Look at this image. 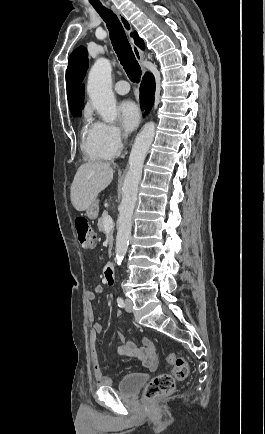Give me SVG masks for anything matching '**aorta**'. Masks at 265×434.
<instances>
[{
    "mask_svg": "<svg viewBox=\"0 0 265 434\" xmlns=\"http://www.w3.org/2000/svg\"><path fill=\"white\" fill-rule=\"evenodd\" d=\"M112 66L106 58H98L92 66L87 82V94L98 114L104 122L114 124L118 114L116 100L112 92ZM154 122L143 126L136 136L129 156V170L122 188V202L118 208L117 236L115 254L120 266L127 250L131 236L132 216L137 200L138 186L142 176V168L147 152L154 140Z\"/></svg>",
    "mask_w": 265,
    "mask_h": 434,
    "instance_id": "aorta-1",
    "label": "aorta"
}]
</instances>
